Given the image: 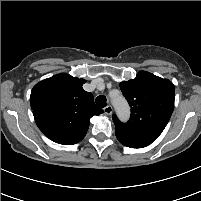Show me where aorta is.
Segmentation results:
<instances>
[{"label": "aorta", "mask_w": 201, "mask_h": 201, "mask_svg": "<svg viewBox=\"0 0 201 201\" xmlns=\"http://www.w3.org/2000/svg\"><path fill=\"white\" fill-rule=\"evenodd\" d=\"M112 104L118 114V116L126 120L129 116V106L127 101L122 95H118L117 97L112 98Z\"/></svg>", "instance_id": "1"}]
</instances>
